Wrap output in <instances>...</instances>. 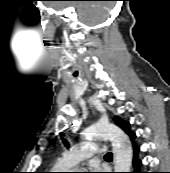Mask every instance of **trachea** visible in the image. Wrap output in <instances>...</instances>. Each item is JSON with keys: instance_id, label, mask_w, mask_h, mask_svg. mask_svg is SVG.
<instances>
[{"instance_id": "trachea-1", "label": "trachea", "mask_w": 170, "mask_h": 173, "mask_svg": "<svg viewBox=\"0 0 170 173\" xmlns=\"http://www.w3.org/2000/svg\"><path fill=\"white\" fill-rule=\"evenodd\" d=\"M105 157H106V158H111V157H112V153H111V152L107 153V154L105 155Z\"/></svg>"}]
</instances>
